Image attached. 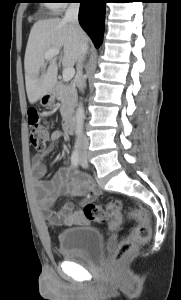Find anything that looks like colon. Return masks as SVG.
<instances>
[{
	"mask_svg": "<svg viewBox=\"0 0 181 300\" xmlns=\"http://www.w3.org/2000/svg\"><path fill=\"white\" fill-rule=\"evenodd\" d=\"M30 132L29 139L35 148L44 147L49 138V128L46 122L41 121L40 114L36 110L29 112ZM121 202L111 200L104 205L87 204L83 214L87 220L106 223L111 229H115L121 222ZM128 218L137 223L131 234L122 240L114 255L113 260L121 263L127 260L139 245L145 244L151 237V227L147 211L141 207H131L128 210Z\"/></svg>",
	"mask_w": 181,
	"mask_h": 300,
	"instance_id": "obj_1",
	"label": "colon"
}]
</instances>
